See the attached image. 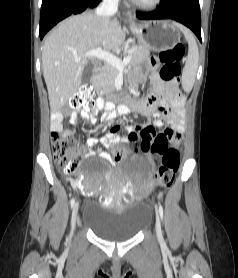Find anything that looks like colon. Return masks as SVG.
<instances>
[{
	"instance_id": "1",
	"label": "colon",
	"mask_w": 238,
	"mask_h": 278,
	"mask_svg": "<svg viewBox=\"0 0 238 278\" xmlns=\"http://www.w3.org/2000/svg\"><path fill=\"white\" fill-rule=\"evenodd\" d=\"M185 49L182 44H178L169 50L162 51L159 54L161 63V79L171 86H175L179 79L180 63L184 56ZM94 91L89 85L83 86L70 100L71 107L83 108L87 111H93L96 107L94 101ZM145 137L140 144V149L144 152L150 151L155 154H161V162L156 170V178L163 187L172 184L180 164V153L177 149L171 148V144L149 143ZM52 149L54 158L58 167L68 174L77 171L81 156L79 140L76 134L70 131L52 132ZM129 155L124 146H116L113 149V158L120 162Z\"/></svg>"
}]
</instances>
